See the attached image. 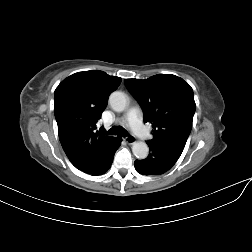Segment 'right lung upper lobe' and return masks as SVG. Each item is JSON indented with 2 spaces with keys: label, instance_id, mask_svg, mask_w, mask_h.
Returning <instances> with one entry per match:
<instances>
[{
  "label": "right lung upper lobe",
  "instance_id": "cb5924a9",
  "mask_svg": "<svg viewBox=\"0 0 252 252\" xmlns=\"http://www.w3.org/2000/svg\"><path fill=\"white\" fill-rule=\"evenodd\" d=\"M120 82V77L91 70L69 76L55 90L54 114L59 139L69 160L81 171L95 170L115 138L95 129L108 96Z\"/></svg>",
  "mask_w": 252,
  "mask_h": 252
}]
</instances>
